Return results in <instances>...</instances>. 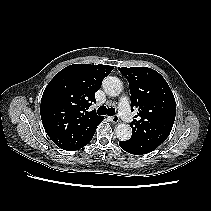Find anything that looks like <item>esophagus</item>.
I'll list each match as a JSON object with an SVG mask.
<instances>
[{
	"mask_svg": "<svg viewBox=\"0 0 211 211\" xmlns=\"http://www.w3.org/2000/svg\"><path fill=\"white\" fill-rule=\"evenodd\" d=\"M111 121L116 124L120 121V118L118 115H114L111 117Z\"/></svg>",
	"mask_w": 211,
	"mask_h": 211,
	"instance_id": "esophagus-1",
	"label": "esophagus"
}]
</instances>
